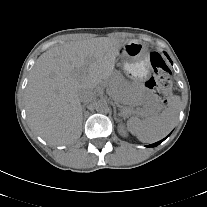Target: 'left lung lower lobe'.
Here are the masks:
<instances>
[{
  "label": "left lung lower lobe",
  "mask_w": 207,
  "mask_h": 207,
  "mask_svg": "<svg viewBox=\"0 0 207 207\" xmlns=\"http://www.w3.org/2000/svg\"><path fill=\"white\" fill-rule=\"evenodd\" d=\"M165 55L168 57V59L170 60V62L172 63L171 59L169 58V56L165 53ZM166 138H164L163 140L156 142L154 144L149 145L148 147H155L157 145H159L161 142H163Z\"/></svg>",
  "instance_id": "0a47b994"
}]
</instances>
